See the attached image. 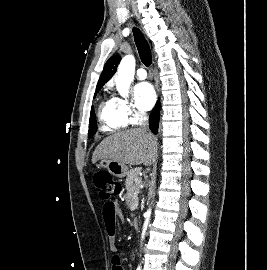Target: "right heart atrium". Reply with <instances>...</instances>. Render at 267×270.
Instances as JSON below:
<instances>
[{"label":"right heart atrium","mask_w":267,"mask_h":270,"mask_svg":"<svg viewBox=\"0 0 267 270\" xmlns=\"http://www.w3.org/2000/svg\"><path fill=\"white\" fill-rule=\"evenodd\" d=\"M111 100L114 103L119 116L126 123L135 124L142 119L143 113L136 110L129 99L115 95Z\"/></svg>","instance_id":"obj_1"}]
</instances>
